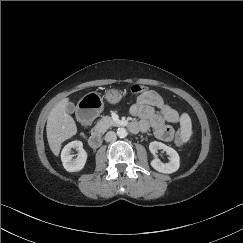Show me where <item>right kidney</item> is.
Masks as SVG:
<instances>
[{"mask_svg": "<svg viewBox=\"0 0 243 243\" xmlns=\"http://www.w3.org/2000/svg\"><path fill=\"white\" fill-rule=\"evenodd\" d=\"M71 149H76L78 151L77 158L73 159V156L70 155ZM87 157L88 155L83 149V143L77 140L68 143L61 152L63 167L68 172L81 171L86 164Z\"/></svg>", "mask_w": 243, "mask_h": 243, "instance_id": "right-kidney-1", "label": "right kidney"}]
</instances>
